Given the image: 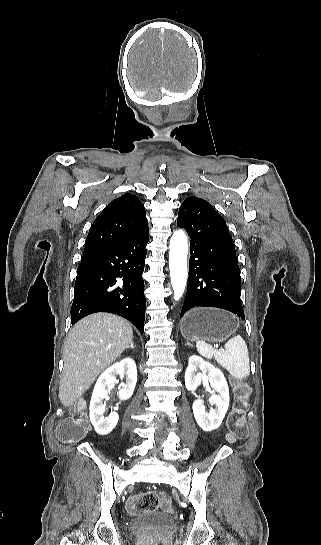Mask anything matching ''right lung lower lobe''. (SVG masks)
Listing matches in <instances>:
<instances>
[{"label": "right lung lower lobe", "instance_id": "1", "mask_svg": "<svg viewBox=\"0 0 321 545\" xmlns=\"http://www.w3.org/2000/svg\"><path fill=\"white\" fill-rule=\"evenodd\" d=\"M148 241L146 230L126 242L83 253L71 307L72 325L91 313L109 312L128 319L143 334L142 273Z\"/></svg>", "mask_w": 321, "mask_h": 545}]
</instances>
